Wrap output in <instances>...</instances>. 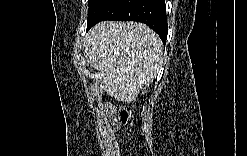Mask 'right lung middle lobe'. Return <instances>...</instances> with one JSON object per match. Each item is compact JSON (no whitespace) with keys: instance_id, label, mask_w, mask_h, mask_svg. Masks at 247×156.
Masks as SVG:
<instances>
[{"instance_id":"right-lung-middle-lobe-1","label":"right lung middle lobe","mask_w":247,"mask_h":156,"mask_svg":"<svg viewBox=\"0 0 247 156\" xmlns=\"http://www.w3.org/2000/svg\"><path fill=\"white\" fill-rule=\"evenodd\" d=\"M110 0H88V20H87V27L90 25L102 9L109 3Z\"/></svg>"}]
</instances>
